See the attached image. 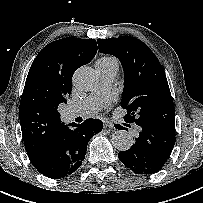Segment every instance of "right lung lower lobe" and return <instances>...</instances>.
<instances>
[{"label":"right lung lower lobe","mask_w":203,"mask_h":203,"mask_svg":"<svg viewBox=\"0 0 203 203\" xmlns=\"http://www.w3.org/2000/svg\"><path fill=\"white\" fill-rule=\"evenodd\" d=\"M64 125L49 151L37 163H33L41 174L60 179L77 170L86 155L90 138L99 133L103 123L99 119H87L82 124Z\"/></svg>","instance_id":"right-lung-lower-lobe-1"}]
</instances>
